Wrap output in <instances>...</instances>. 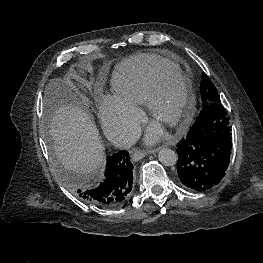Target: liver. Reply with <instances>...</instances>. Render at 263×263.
Listing matches in <instances>:
<instances>
[{"mask_svg": "<svg viewBox=\"0 0 263 263\" xmlns=\"http://www.w3.org/2000/svg\"><path fill=\"white\" fill-rule=\"evenodd\" d=\"M68 81L55 80L46 89L52 111L49 132L56 157L67 170L87 177L104 164L99 131Z\"/></svg>", "mask_w": 263, "mask_h": 263, "instance_id": "liver-1", "label": "liver"}]
</instances>
